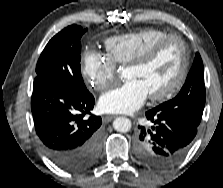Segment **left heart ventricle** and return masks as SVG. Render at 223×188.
<instances>
[{
  "mask_svg": "<svg viewBox=\"0 0 223 188\" xmlns=\"http://www.w3.org/2000/svg\"><path fill=\"white\" fill-rule=\"evenodd\" d=\"M182 63V51L178 42L165 44L145 65L126 68L125 78L136 80L146 89L148 95L168 88L177 77Z\"/></svg>",
  "mask_w": 223,
  "mask_h": 188,
  "instance_id": "obj_1",
  "label": "left heart ventricle"
}]
</instances>
